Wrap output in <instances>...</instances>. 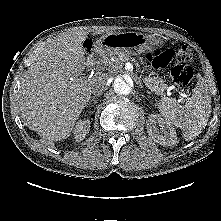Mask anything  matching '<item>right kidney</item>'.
I'll return each mask as SVG.
<instances>
[{
    "mask_svg": "<svg viewBox=\"0 0 221 221\" xmlns=\"http://www.w3.org/2000/svg\"><path fill=\"white\" fill-rule=\"evenodd\" d=\"M90 130V121L87 120H80L76 123L75 128L73 129V134L75 136L76 141H82L85 139L86 135L89 133Z\"/></svg>",
    "mask_w": 221,
    "mask_h": 221,
    "instance_id": "1",
    "label": "right kidney"
}]
</instances>
